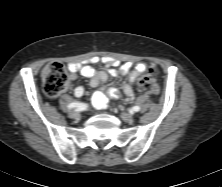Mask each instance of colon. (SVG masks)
<instances>
[{
    "instance_id": "1",
    "label": "colon",
    "mask_w": 222,
    "mask_h": 187,
    "mask_svg": "<svg viewBox=\"0 0 222 187\" xmlns=\"http://www.w3.org/2000/svg\"><path fill=\"white\" fill-rule=\"evenodd\" d=\"M153 69H148L139 79V87L150 93H157L159 88L154 81ZM44 92L54 98L69 88V76L65 67L57 62L48 64L42 72Z\"/></svg>"
}]
</instances>
